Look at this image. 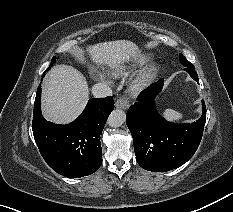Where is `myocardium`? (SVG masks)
<instances>
[{"label":"myocardium","mask_w":233,"mask_h":212,"mask_svg":"<svg viewBox=\"0 0 233 212\" xmlns=\"http://www.w3.org/2000/svg\"><path fill=\"white\" fill-rule=\"evenodd\" d=\"M160 71V65L152 63L143 68L130 82V90L140 93L147 89L156 79Z\"/></svg>","instance_id":"myocardium-1"}]
</instances>
